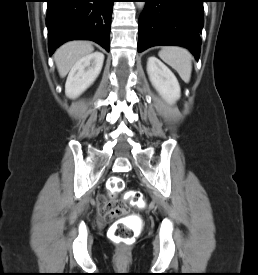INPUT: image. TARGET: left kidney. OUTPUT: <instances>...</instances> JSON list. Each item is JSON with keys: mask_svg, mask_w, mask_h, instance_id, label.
Masks as SVG:
<instances>
[{"mask_svg": "<svg viewBox=\"0 0 258 275\" xmlns=\"http://www.w3.org/2000/svg\"><path fill=\"white\" fill-rule=\"evenodd\" d=\"M147 72L152 85L169 103L180 98V85L174 73L158 58L151 56L147 62Z\"/></svg>", "mask_w": 258, "mask_h": 275, "instance_id": "left-kidney-1", "label": "left kidney"}]
</instances>
